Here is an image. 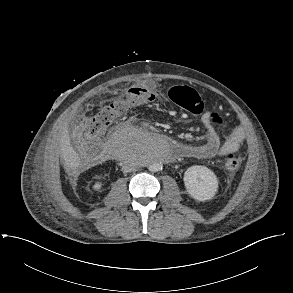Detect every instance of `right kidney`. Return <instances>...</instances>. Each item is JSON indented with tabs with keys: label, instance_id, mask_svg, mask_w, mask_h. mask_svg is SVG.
I'll list each match as a JSON object with an SVG mask.
<instances>
[{
	"label": "right kidney",
	"instance_id": "obj_1",
	"mask_svg": "<svg viewBox=\"0 0 293 293\" xmlns=\"http://www.w3.org/2000/svg\"><path fill=\"white\" fill-rule=\"evenodd\" d=\"M101 188H102L101 182H95V184L93 185V190H95V191H100Z\"/></svg>",
	"mask_w": 293,
	"mask_h": 293
}]
</instances>
